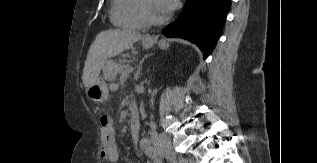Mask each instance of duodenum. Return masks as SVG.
I'll return each mask as SVG.
<instances>
[{
  "label": "duodenum",
  "instance_id": "1",
  "mask_svg": "<svg viewBox=\"0 0 317 163\" xmlns=\"http://www.w3.org/2000/svg\"><path fill=\"white\" fill-rule=\"evenodd\" d=\"M131 135L134 139H138L140 135V116L137 112H132L130 117Z\"/></svg>",
  "mask_w": 317,
  "mask_h": 163
}]
</instances>
